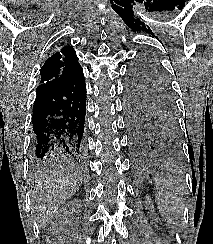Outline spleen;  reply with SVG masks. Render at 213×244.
Wrapping results in <instances>:
<instances>
[{
    "mask_svg": "<svg viewBox=\"0 0 213 244\" xmlns=\"http://www.w3.org/2000/svg\"><path fill=\"white\" fill-rule=\"evenodd\" d=\"M154 181L158 190L157 207L162 217L174 224L182 214V200L187 189L183 173L166 163L156 172Z\"/></svg>",
    "mask_w": 213,
    "mask_h": 244,
    "instance_id": "obj_1",
    "label": "spleen"
}]
</instances>
